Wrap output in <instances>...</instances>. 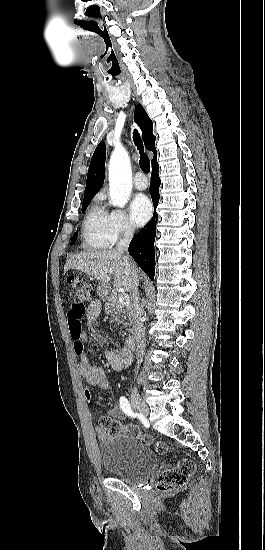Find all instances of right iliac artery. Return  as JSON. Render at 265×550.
I'll list each match as a JSON object with an SVG mask.
<instances>
[{
  "mask_svg": "<svg viewBox=\"0 0 265 550\" xmlns=\"http://www.w3.org/2000/svg\"><path fill=\"white\" fill-rule=\"evenodd\" d=\"M120 406L126 415L132 418L137 416V413L132 410L128 400L124 396L120 397Z\"/></svg>",
  "mask_w": 265,
  "mask_h": 550,
  "instance_id": "1",
  "label": "right iliac artery"
}]
</instances>
